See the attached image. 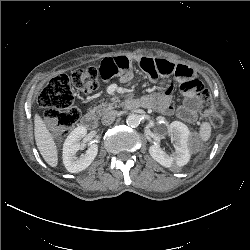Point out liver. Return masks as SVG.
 <instances>
[{
	"instance_id": "1",
	"label": "liver",
	"mask_w": 250,
	"mask_h": 250,
	"mask_svg": "<svg viewBox=\"0 0 250 250\" xmlns=\"http://www.w3.org/2000/svg\"><path fill=\"white\" fill-rule=\"evenodd\" d=\"M34 126L35 141L40 154L48 165L56 167L58 165L57 146L44 120L37 113L34 117Z\"/></svg>"
}]
</instances>
